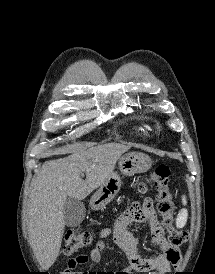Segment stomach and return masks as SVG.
<instances>
[{
    "label": "stomach",
    "instance_id": "1",
    "mask_svg": "<svg viewBox=\"0 0 215 274\" xmlns=\"http://www.w3.org/2000/svg\"><path fill=\"white\" fill-rule=\"evenodd\" d=\"M151 159L143 153L131 152L120 157L118 166L121 174L132 176L137 173H143L151 167ZM121 179L117 172H113L97 192L92 196L90 205L92 209H103L119 192Z\"/></svg>",
    "mask_w": 215,
    "mask_h": 274
}]
</instances>
